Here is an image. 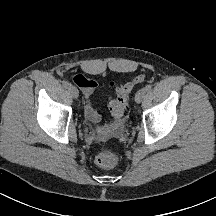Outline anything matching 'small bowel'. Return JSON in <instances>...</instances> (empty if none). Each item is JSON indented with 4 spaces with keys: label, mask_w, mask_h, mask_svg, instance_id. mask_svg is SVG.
<instances>
[{
    "label": "small bowel",
    "mask_w": 216,
    "mask_h": 216,
    "mask_svg": "<svg viewBox=\"0 0 216 216\" xmlns=\"http://www.w3.org/2000/svg\"><path fill=\"white\" fill-rule=\"evenodd\" d=\"M76 76L74 77V82L82 90L85 97V116L90 122L97 123L101 120V113L93 106L91 96L97 89L98 84L96 81L83 75H80L81 78L76 80ZM117 128L118 124L115 120H113L108 124L95 129L93 131V135L97 138H104L116 132Z\"/></svg>",
    "instance_id": "small-bowel-1"
}]
</instances>
